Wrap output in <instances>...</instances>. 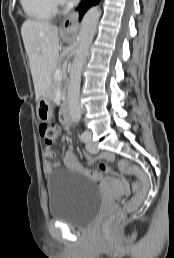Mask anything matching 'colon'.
<instances>
[{"label": "colon", "instance_id": "1", "mask_svg": "<svg viewBox=\"0 0 174 258\" xmlns=\"http://www.w3.org/2000/svg\"><path fill=\"white\" fill-rule=\"evenodd\" d=\"M62 132L61 126L56 122H43L39 126V133L46 146L50 147L57 143ZM119 169L136 177L134 182V196L124 203L121 209L112 212L102 221V232L106 237H112L118 231L126 213L140 205L149 189V180L144 171L127 160L119 162Z\"/></svg>", "mask_w": 174, "mask_h": 258}]
</instances>
